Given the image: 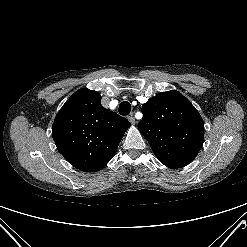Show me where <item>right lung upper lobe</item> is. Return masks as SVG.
<instances>
[{
	"label": "right lung upper lobe",
	"mask_w": 247,
	"mask_h": 247,
	"mask_svg": "<svg viewBox=\"0 0 247 247\" xmlns=\"http://www.w3.org/2000/svg\"><path fill=\"white\" fill-rule=\"evenodd\" d=\"M101 95L82 88L57 113L52 136L58 151L85 172L103 169L113 158L130 122L101 105Z\"/></svg>",
	"instance_id": "cb5924a9"
}]
</instances>
